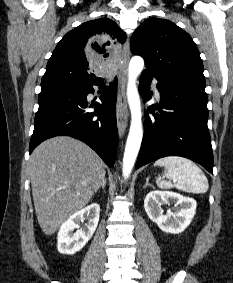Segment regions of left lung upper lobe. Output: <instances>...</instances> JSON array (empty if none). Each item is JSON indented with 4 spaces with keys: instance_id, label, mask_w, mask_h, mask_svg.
Listing matches in <instances>:
<instances>
[{
    "instance_id": "obj_1",
    "label": "left lung upper lobe",
    "mask_w": 233,
    "mask_h": 283,
    "mask_svg": "<svg viewBox=\"0 0 233 283\" xmlns=\"http://www.w3.org/2000/svg\"><path fill=\"white\" fill-rule=\"evenodd\" d=\"M131 51L145 60L144 72L160 79H182L205 84L203 63L188 33L171 21L145 20L134 32Z\"/></svg>"
}]
</instances>
